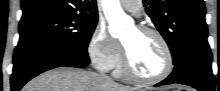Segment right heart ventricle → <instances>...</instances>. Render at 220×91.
<instances>
[{
    "mask_svg": "<svg viewBox=\"0 0 220 91\" xmlns=\"http://www.w3.org/2000/svg\"><path fill=\"white\" fill-rule=\"evenodd\" d=\"M114 73L117 76L122 75L123 71H122V63L119 60L118 63L116 64V66L114 67Z\"/></svg>",
    "mask_w": 220,
    "mask_h": 91,
    "instance_id": "obj_1",
    "label": "right heart ventricle"
}]
</instances>
